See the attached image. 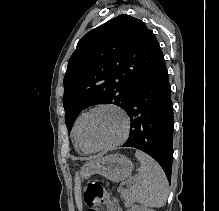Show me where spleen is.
<instances>
[{
	"label": "spleen",
	"instance_id": "3e777b00",
	"mask_svg": "<svg viewBox=\"0 0 219 211\" xmlns=\"http://www.w3.org/2000/svg\"><path fill=\"white\" fill-rule=\"evenodd\" d=\"M135 157H138L141 165L138 177H135L131 187L133 201H139L148 207H162L168 193V181L161 165L139 149Z\"/></svg>",
	"mask_w": 219,
	"mask_h": 211
}]
</instances>
